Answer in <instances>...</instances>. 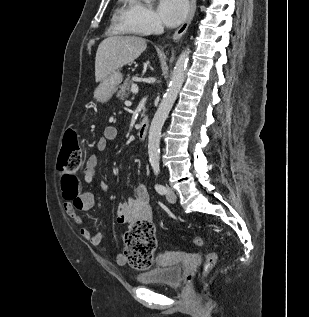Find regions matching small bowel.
I'll return each instance as SVG.
<instances>
[{
    "label": "small bowel",
    "mask_w": 309,
    "mask_h": 317,
    "mask_svg": "<svg viewBox=\"0 0 309 317\" xmlns=\"http://www.w3.org/2000/svg\"><path fill=\"white\" fill-rule=\"evenodd\" d=\"M117 129L113 126L105 128L103 136L96 143V150L102 152L107 144L117 138ZM98 157L90 155L83 169V181L90 185L95 182L97 176ZM64 210L66 214L80 226V235L93 246H100L102 251L118 265H124L127 261L123 253L113 252L102 245L103 236L100 232H94L90 226L84 223L82 212L90 210L95 204L94 194L90 190H83L79 179L74 175L66 184L62 183ZM116 217L119 223H132L137 220H152V207L150 195L145 185H138L136 195L129 197L116 208Z\"/></svg>",
    "instance_id": "obj_1"
}]
</instances>
